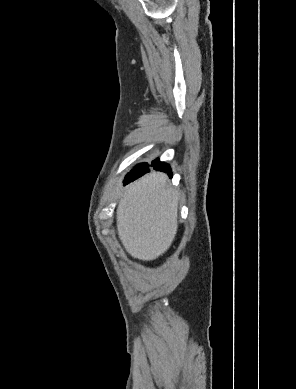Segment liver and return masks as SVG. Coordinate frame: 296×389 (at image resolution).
I'll list each match as a JSON object with an SVG mask.
<instances>
[{
	"label": "liver",
	"mask_w": 296,
	"mask_h": 389,
	"mask_svg": "<svg viewBox=\"0 0 296 389\" xmlns=\"http://www.w3.org/2000/svg\"><path fill=\"white\" fill-rule=\"evenodd\" d=\"M178 193L164 173L153 172L131 183L117 207V230L125 250L150 261L171 246L178 228Z\"/></svg>",
	"instance_id": "liver-1"
}]
</instances>
